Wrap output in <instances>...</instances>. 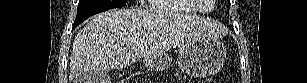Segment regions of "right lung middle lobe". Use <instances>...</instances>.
Wrapping results in <instances>:
<instances>
[{"instance_id":"obj_1","label":"right lung middle lobe","mask_w":307,"mask_h":83,"mask_svg":"<svg viewBox=\"0 0 307 83\" xmlns=\"http://www.w3.org/2000/svg\"><path fill=\"white\" fill-rule=\"evenodd\" d=\"M126 0H80L74 28L86 18L112 8L123 7Z\"/></svg>"}]
</instances>
